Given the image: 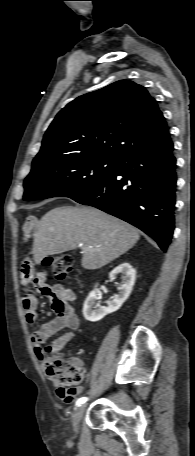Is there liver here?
Returning <instances> with one entry per match:
<instances>
[{
  "label": "liver",
  "instance_id": "1",
  "mask_svg": "<svg viewBox=\"0 0 195 456\" xmlns=\"http://www.w3.org/2000/svg\"><path fill=\"white\" fill-rule=\"evenodd\" d=\"M132 225L92 207H58L40 220L33 243L36 264L49 256L82 248V267L99 269L131 249L139 240Z\"/></svg>",
  "mask_w": 195,
  "mask_h": 456
}]
</instances>
